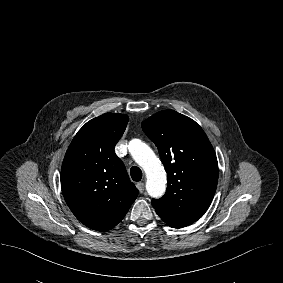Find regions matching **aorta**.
Returning a JSON list of instances; mask_svg holds the SVG:
<instances>
[{
  "label": "aorta",
  "mask_w": 283,
  "mask_h": 283,
  "mask_svg": "<svg viewBox=\"0 0 283 283\" xmlns=\"http://www.w3.org/2000/svg\"><path fill=\"white\" fill-rule=\"evenodd\" d=\"M129 151L147 176L146 190L153 198L161 197L166 190V173L152 149L138 139L129 142Z\"/></svg>",
  "instance_id": "obj_1"
}]
</instances>
